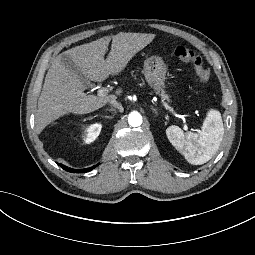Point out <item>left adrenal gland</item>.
<instances>
[{"instance_id": "a2214340", "label": "left adrenal gland", "mask_w": 255, "mask_h": 255, "mask_svg": "<svg viewBox=\"0 0 255 255\" xmlns=\"http://www.w3.org/2000/svg\"><path fill=\"white\" fill-rule=\"evenodd\" d=\"M151 109L155 112L156 115H158V112L155 108L151 107Z\"/></svg>"}]
</instances>
